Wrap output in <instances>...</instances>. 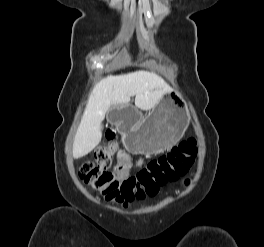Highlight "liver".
Returning a JSON list of instances; mask_svg holds the SVG:
<instances>
[{"instance_id": "obj_1", "label": "liver", "mask_w": 264, "mask_h": 247, "mask_svg": "<svg viewBox=\"0 0 264 247\" xmlns=\"http://www.w3.org/2000/svg\"><path fill=\"white\" fill-rule=\"evenodd\" d=\"M170 86L155 73L137 71L109 76L94 88L73 142V157L90 153L101 141V123L113 105L128 104L135 96V105L143 110L156 106L170 92Z\"/></svg>"}]
</instances>
